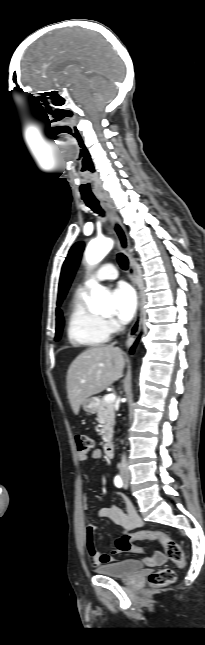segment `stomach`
Returning <instances> with one entry per match:
<instances>
[{
	"label": "stomach",
	"mask_w": 205,
	"mask_h": 645,
	"mask_svg": "<svg viewBox=\"0 0 205 645\" xmlns=\"http://www.w3.org/2000/svg\"><path fill=\"white\" fill-rule=\"evenodd\" d=\"M99 406V400L96 397L89 398L86 402L82 404L83 410L89 414H93L97 411Z\"/></svg>",
	"instance_id": "obj_1"
}]
</instances>
